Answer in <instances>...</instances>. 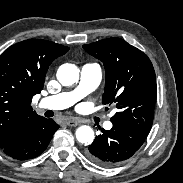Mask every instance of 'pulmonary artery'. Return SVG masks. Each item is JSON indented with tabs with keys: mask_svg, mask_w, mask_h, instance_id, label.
I'll return each mask as SVG.
<instances>
[{
	"mask_svg": "<svg viewBox=\"0 0 183 183\" xmlns=\"http://www.w3.org/2000/svg\"><path fill=\"white\" fill-rule=\"evenodd\" d=\"M102 69L98 63H88L81 68L78 86L69 92H62L43 98L39 104L40 109L62 110L75 104L77 101L95 90L101 82ZM110 121L104 123V128L111 129Z\"/></svg>",
	"mask_w": 183,
	"mask_h": 183,
	"instance_id": "obj_1",
	"label": "pulmonary artery"
}]
</instances>
